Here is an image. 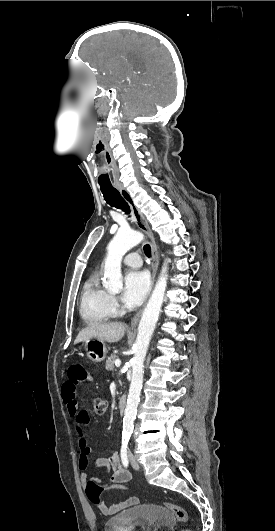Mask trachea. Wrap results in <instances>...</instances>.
Here are the masks:
<instances>
[{
    "mask_svg": "<svg viewBox=\"0 0 275 531\" xmlns=\"http://www.w3.org/2000/svg\"><path fill=\"white\" fill-rule=\"evenodd\" d=\"M101 191L106 203L117 209H121L125 212V214H128V216H130V208L128 206V203L125 201V199H123L118 189L114 188V186H104L101 187ZM143 250L145 255L150 258L151 248L149 244L144 245Z\"/></svg>",
    "mask_w": 275,
    "mask_h": 531,
    "instance_id": "1",
    "label": "trachea"
}]
</instances>
